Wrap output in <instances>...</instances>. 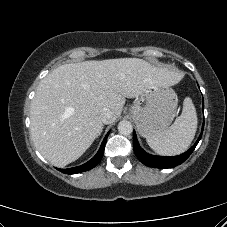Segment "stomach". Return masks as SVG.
<instances>
[{"label": "stomach", "instance_id": "0dacf381", "mask_svg": "<svg viewBox=\"0 0 227 227\" xmlns=\"http://www.w3.org/2000/svg\"><path fill=\"white\" fill-rule=\"evenodd\" d=\"M178 98L173 89L162 84L143 91L129 109V115L143 137L168 128L177 110Z\"/></svg>", "mask_w": 227, "mask_h": 227}]
</instances>
